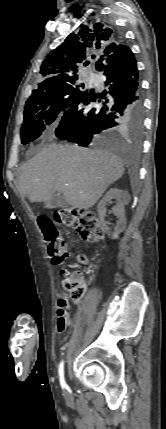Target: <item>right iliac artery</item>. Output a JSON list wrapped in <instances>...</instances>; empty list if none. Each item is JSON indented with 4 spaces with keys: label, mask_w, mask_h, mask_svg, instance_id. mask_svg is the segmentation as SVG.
<instances>
[{
    "label": "right iliac artery",
    "mask_w": 166,
    "mask_h": 429,
    "mask_svg": "<svg viewBox=\"0 0 166 429\" xmlns=\"http://www.w3.org/2000/svg\"><path fill=\"white\" fill-rule=\"evenodd\" d=\"M58 373H59L61 387L66 388L67 385H66L65 380H64V361H62L60 363Z\"/></svg>",
    "instance_id": "1"
}]
</instances>
